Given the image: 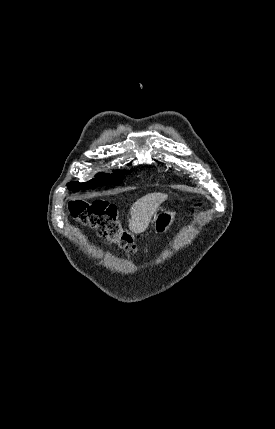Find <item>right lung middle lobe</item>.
Wrapping results in <instances>:
<instances>
[{
	"label": "right lung middle lobe",
	"instance_id": "1",
	"mask_svg": "<svg viewBox=\"0 0 275 429\" xmlns=\"http://www.w3.org/2000/svg\"><path fill=\"white\" fill-rule=\"evenodd\" d=\"M123 174L124 172L120 170L115 171L113 174L99 173L94 179L90 180L89 182H70L67 184V186L73 191H78L79 189H88L90 187H95L99 185L117 184L124 179Z\"/></svg>",
	"mask_w": 275,
	"mask_h": 429
}]
</instances>
